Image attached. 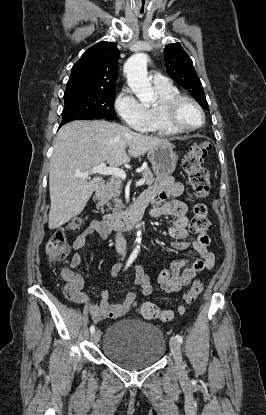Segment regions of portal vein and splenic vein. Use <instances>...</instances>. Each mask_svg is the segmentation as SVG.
<instances>
[{
	"label": "portal vein and splenic vein",
	"instance_id": "18ae733b",
	"mask_svg": "<svg viewBox=\"0 0 266 415\" xmlns=\"http://www.w3.org/2000/svg\"><path fill=\"white\" fill-rule=\"evenodd\" d=\"M102 174V175H113L116 177L121 178L122 180L126 179V173L123 169H120L119 167H107L106 163H101L97 166L92 167L90 171L87 172H78L75 173L74 176L77 178H87L91 174ZM145 183V179H140L138 182H136V186H141Z\"/></svg>",
	"mask_w": 266,
	"mask_h": 415
}]
</instances>
